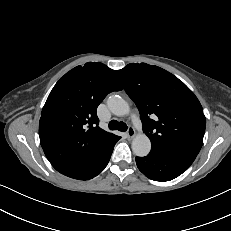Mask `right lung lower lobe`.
I'll list each match as a JSON object with an SVG mask.
<instances>
[{
	"instance_id": "obj_1",
	"label": "right lung lower lobe",
	"mask_w": 231,
	"mask_h": 231,
	"mask_svg": "<svg viewBox=\"0 0 231 231\" xmlns=\"http://www.w3.org/2000/svg\"><path fill=\"white\" fill-rule=\"evenodd\" d=\"M120 138L119 136H115L95 157L81 165L62 172V174L79 180H88L97 176L108 164L113 148Z\"/></svg>"
}]
</instances>
